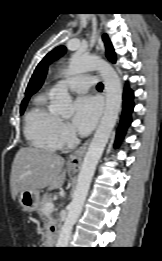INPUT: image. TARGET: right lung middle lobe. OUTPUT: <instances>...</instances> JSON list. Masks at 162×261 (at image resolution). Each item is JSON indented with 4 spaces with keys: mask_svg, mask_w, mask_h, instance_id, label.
<instances>
[{
    "mask_svg": "<svg viewBox=\"0 0 162 261\" xmlns=\"http://www.w3.org/2000/svg\"><path fill=\"white\" fill-rule=\"evenodd\" d=\"M27 103H28V100L23 101V102L21 103V110H20L21 114L24 112Z\"/></svg>",
    "mask_w": 162,
    "mask_h": 261,
    "instance_id": "right-lung-middle-lobe-1",
    "label": "right lung middle lobe"
}]
</instances>
